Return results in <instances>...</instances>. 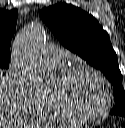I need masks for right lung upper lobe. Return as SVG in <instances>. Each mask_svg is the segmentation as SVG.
Instances as JSON below:
<instances>
[{"mask_svg": "<svg viewBox=\"0 0 125 128\" xmlns=\"http://www.w3.org/2000/svg\"><path fill=\"white\" fill-rule=\"evenodd\" d=\"M17 10L0 9V61H10V45L16 28Z\"/></svg>", "mask_w": 125, "mask_h": 128, "instance_id": "1", "label": "right lung upper lobe"}]
</instances>
